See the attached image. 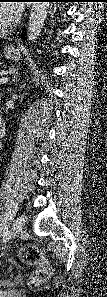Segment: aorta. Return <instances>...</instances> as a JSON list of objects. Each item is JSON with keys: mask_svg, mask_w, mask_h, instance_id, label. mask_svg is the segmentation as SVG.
I'll return each instance as SVG.
<instances>
[{"mask_svg": "<svg viewBox=\"0 0 107 297\" xmlns=\"http://www.w3.org/2000/svg\"><path fill=\"white\" fill-rule=\"evenodd\" d=\"M49 2H34L28 20L27 36L29 42H35L40 36L47 17Z\"/></svg>", "mask_w": 107, "mask_h": 297, "instance_id": "aorta-1", "label": "aorta"}]
</instances>
